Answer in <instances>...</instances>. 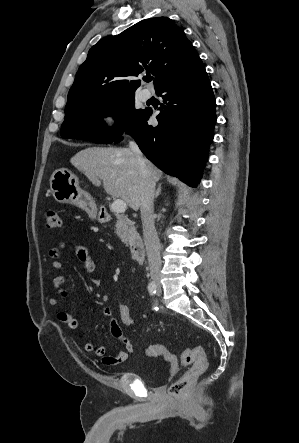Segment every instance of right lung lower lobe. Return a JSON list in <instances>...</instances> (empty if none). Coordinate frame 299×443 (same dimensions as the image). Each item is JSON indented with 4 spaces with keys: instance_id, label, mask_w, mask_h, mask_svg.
<instances>
[{
    "instance_id": "obj_1",
    "label": "right lung lower lobe",
    "mask_w": 299,
    "mask_h": 443,
    "mask_svg": "<svg viewBox=\"0 0 299 443\" xmlns=\"http://www.w3.org/2000/svg\"><path fill=\"white\" fill-rule=\"evenodd\" d=\"M155 91L165 104L156 117L159 124L148 125L152 110L145 109L130 121L126 132L162 171L196 186L216 122V100L206 70L202 67L175 78ZM120 136L113 141L120 142Z\"/></svg>"
}]
</instances>
